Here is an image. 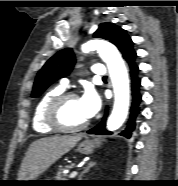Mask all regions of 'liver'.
I'll return each mask as SVG.
<instances>
[{
	"label": "liver",
	"mask_w": 178,
	"mask_h": 186,
	"mask_svg": "<svg viewBox=\"0 0 178 186\" xmlns=\"http://www.w3.org/2000/svg\"><path fill=\"white\" fill-rule=\"evenodd\" d=\"M82 135H55L34 141L22 160L18 173L20 181L36 179L65 153L70 151Z\"/></svg>",
	"instance_id": "obj_1"
}]
</instances>
